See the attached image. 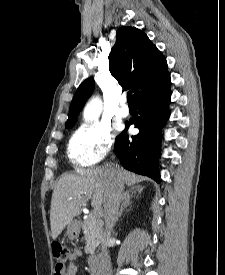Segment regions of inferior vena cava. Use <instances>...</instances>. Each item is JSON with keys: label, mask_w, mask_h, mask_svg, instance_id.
I'll use <instances>...</instances> for the list:
<instances>
[{"label": "inferior vena cava", "mask_w": 225, "mask_h": 275, "mask_svg": "<svg viewBox=\"0 0 225 275\" xmlns=\"http://www.w3.org/2000/svg\"><path fill=\"white\" fill-rule=\"evenodd\" d=\"M124 183L117 167L113 168L110 190L105 204V231L102 238V252L97 266L96 275H111V260L107 251V242L111 236V230L118 218L119 205L124 200Z\"/></svg>", "instance_id": "1"}]
</instances>
